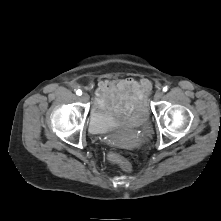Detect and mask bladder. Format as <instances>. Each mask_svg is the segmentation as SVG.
Instances as JSON below:
<instances>
[{"label": "bladder", "mask_w": 221, "mask_h": 221, "mask_svg": "<svg viewBox=\"0 0 221 221\" xmlns=\"http://www.w3.org/2000/svg\"><path fill=\"white\" fill-rule=\"evenodd\" d=\"M146 118L147 112L145 108L140 112L133 113L131 116V119L137 124L144 122ZM126 119H128V117L119 111L104 110L96 105L90 114L89 130L95 135H106L112 144L119 145L120 142L112 137V133L116 125Z\"/></svg>", "instance_id": "1"}]
</instances>
